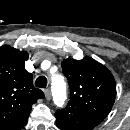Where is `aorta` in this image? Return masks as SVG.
<instances>
[{
	"label": "aorta",
	"mask_w": 130,
	"mask_h": 130,
	"mask_svg": "<svg viewBox=\"0 0 130 130\" xmlns=\"http://www.w3.org/2000/svg\"><path fill=\"white\" fill-rule=\"evenodd\" d=\"M53 100L58 107H62L66 100V83L61 75H56L51 79Z\"/></svg>",
	"instance_id": "aorta-1"
}]
</instances>
